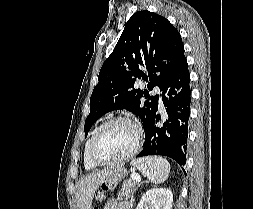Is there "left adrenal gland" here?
Here are the masks:
<instances>
[{"instance_id": "a2214340", "label": "left adrenal gland", "mask_w": 253, "mask_h": 209, "mask_svg": "<svg viewBox=\"0 0 253 209\" xmlns=\"http://www.w3.org/2000/svg\"><path fill=\"white\" fill-rule=\"evenodd\" d=\"M133 202H134V198L132 197V198H131V202H130L131 207L133 206Z\"/></svg>"}]
</instances>
